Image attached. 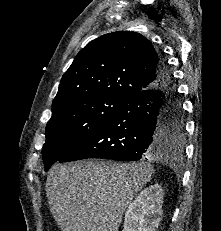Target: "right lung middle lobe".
Listing matches in <instances>:
<instances>
[{
    "mask_svg": "<svg viewBox=\"0 0 221 231\" xmlns=\"http://www.w3.org/2000/svg\"><path fill=\"white\" fill-rule=\"evenodd\" d=\"M125 101L113 95L90 96L52 113L46 126V141L42 150L45 170L95 133ZM166 112L168 121L163 135L179 149L184 142L181 105H170Z\"/></svg>",
    "mask_w": 221,
    "mask_h": 231,
    "instance_id": "1",
    "label": "right lung middle lobe"
}]
</instances>
